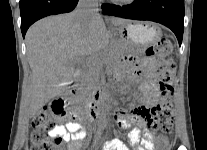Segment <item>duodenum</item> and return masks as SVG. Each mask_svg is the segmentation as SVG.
<instances>
[{
  "mask_svg": "<svg viewBox=\"0 0 207 150\" xmlns=\"http://www.w3.org/2000/svg\"><path fill=\"white\" fill-rule=\"evenodd\" d=\"M79 92V86L77 84H72L67 93L68 98H73ZM106 99V90L104 88H99L92 94L89 100L88 108L76 107L73 110L75 117L89 116L94 117L97 110L100 108L101 104Z\"/></svg>",
  "mask_w": 207,
  "mask_h": 150,
  "instance_id": "1",
  "label": "duodenum"
}]
</instances>
